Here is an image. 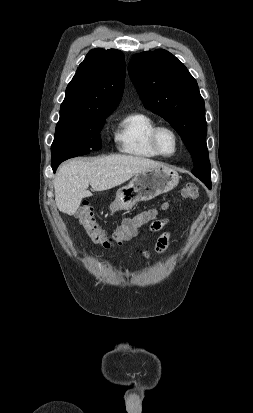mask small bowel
<instances>
[{
  "label": "small bowel",
  "instance_id": "obj_1",
  "mask_svg": "<svg viewBox=\"0 0 253 413\" xmlns=\"http://www.w3.org/2000/svg\"><path fill=\"white\" fill-rule=\"evenodd\" d=\"M167 223H168V220H167V219L155 220V221H153V222L151 223V225H150V230L153 231V232L159 231V230H161ZM170 238H171V234L168 233V232L162 234V235L158 238L157 243H156V246H155V251H156L157 254L161 255V254H163V253L168 249ZM145 256H146V257H149V254H148V253H145Z\"/></svg>",
  "mask_w": 253,
  "mask_h": 413
}]
</instances>
